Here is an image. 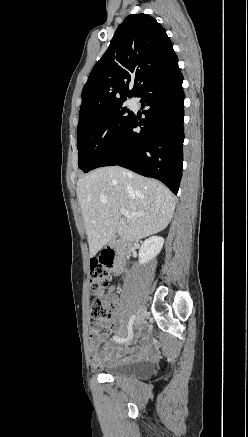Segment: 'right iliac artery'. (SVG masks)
<instances>
[{
    "mask_svg": "<svg viewBox=\"0 0 248 437\" xmlns=\"http://www.w3.org/2000/svg\"><path fill=\"white\" fill-rule=\"evenodd\" d=\"M134 320H135V315H132V316L130 317V319H129V322H128V330H129V334H128V336H127L126 338H120V337H118V336H115V337H114V340H115L116 342H119V343H126L127 341L130 340L131 335H132V325H133V323H134Z\"/></svg>",
    "mask_w": 248,
    "mask_h": 437,
    "instance_id": "right-iliac-artery-1",
    "label": "right iliac artery"
}]
</instances>
